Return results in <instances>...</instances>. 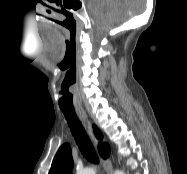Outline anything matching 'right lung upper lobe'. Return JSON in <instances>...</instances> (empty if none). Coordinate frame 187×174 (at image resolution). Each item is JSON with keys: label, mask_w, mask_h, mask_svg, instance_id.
Masks as SVG:
<instances>
[{"label": "right lung upper lobe", "mask_w": 187, "mask_h": 174, "mask_svg": "<svg viewBox=\"0 0 187 174\" xmlns=\"http://www.w3.org/2000/svg\"><path fill=\"white\" fill-rule=\"evenodd\" d=\"M93 128H94V131H95L96 135L98 137H100V139H102L103 136L100 133V131L95 126H93ZM99 152H100L102 157H104V158L108 157L109 153H110V148H109L108 144H106V143L100 144Z\"/></svg>", "instance_id": "obj_1"}]
</instances>
